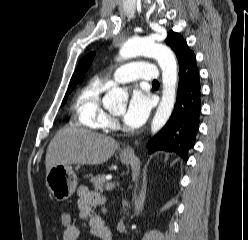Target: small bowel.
I'll list each match as a JSON object with an SVG mask.
<instances>
[{
	"mask_svg": "<svg viewBox=\"0 0 248 240\" xmlns=\"http://www.w3.org/2000/svg\"><path fill=\"white\" fill-rule=\"evenodd\" d=\"M78 196V210L81 219L91 217L92 208L95 206H102L106 203V198L98 193L90 190L87 186H80L77 189ZM101 220L97 217H91L90 224L94 231L95 226ZM81 235V229L76 224L72 223L68 228L64 229L62 240H78Z\"/></svg>",
	"mask_w": 248,
	"mask_h": 240,
	"instance_id": "1",
	"label": "small bowel"
}]
</instances>
